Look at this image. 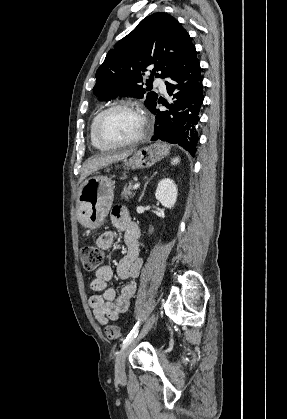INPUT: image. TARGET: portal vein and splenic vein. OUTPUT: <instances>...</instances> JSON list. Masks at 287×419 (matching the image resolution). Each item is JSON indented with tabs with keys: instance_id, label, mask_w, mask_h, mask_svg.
<instances>
[{
	"instance_id": "18ae733b",
	"label": "portal vein and splenic vein",
	"mask_w": 287,
	"mask_h": 419,
	"mask_svg": "<svg viewBox=\"0 0 287 419\" xmlns=\"http://www.w3.org/2000/svg\"><path fill=\"white\" fill-rule=\"evenodd\" d=\"M139 186H140V183H136V184L133 186V189H134V190H136L137 188H139Z\"/></svg>"
}]
</instances>
